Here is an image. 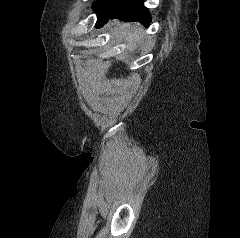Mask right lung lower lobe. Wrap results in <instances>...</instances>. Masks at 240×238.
I'll return each instance as SVG.
<instances>
[{"instance_id": "98d812e1", "label": "right lung lower lobe", "mask_w": 240, "mask_h": 238, "mask_svg": "<svg viewBox=\"0 0 240 238\" xmlns=\"http://www.w3.org/2000/svg\"><path fill=\"white\" fill-rule=\"evenodd\" d=\"M144 0H126L123 5L114 13L97 22V26H102L111 19H120L122 21L141 22L148 26L151 19L149 10L143 5Z\"/></svg>"}]
</instances>
